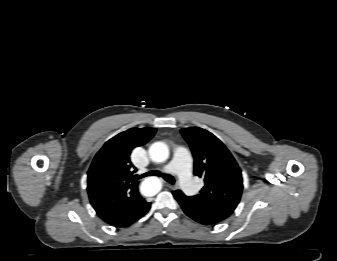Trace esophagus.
I'll use <instances>...</instances> for the list:
<instances>
[{"label": "esophagus", "instance_id": "1", "mask_svg": "<svg viewBox=\"0 0 337 261\" xmlns=\"http://www.w3.org/2000/svg\"><path fill=\"white\" fill-rule=\"evenodd\" d=\"M167 186L170 188V189H175V186L171 185V184H167Z\"/></svg>", "mask_w": 337, "mask_h": 261}]
</instances>
